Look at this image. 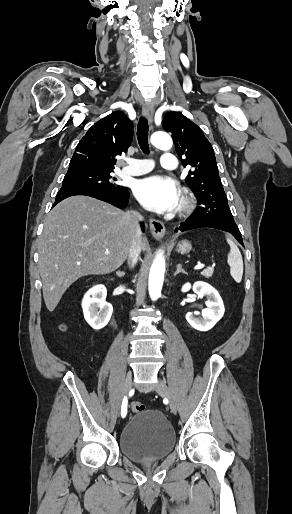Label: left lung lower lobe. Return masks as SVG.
<instances>
[{
	"instance_id": "1",
	"label": "left lung lower lobe",
	"mask_w": 292,
	"mask_h": 514,
	"mask_svg": "<svg viewBox=\"0 0 292 514\" xmlns=\"http://www.w3.org/2000/svg\"><path fill=\"white\" fill-rule=\"evenodd\" d=\"M201 227H210L229 232L238 240V242L242 246H244L242 235L235 222H230L217 218H199L198 216H196L195 213H193L186 221L182 222L180 226L175 229V232H183L186 230Z\"/></svg>"
}]
</instances>
